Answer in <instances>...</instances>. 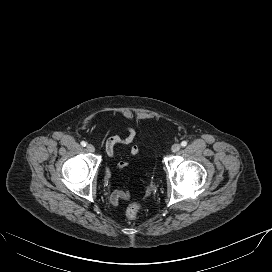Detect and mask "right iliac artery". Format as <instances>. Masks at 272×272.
<instances>
[{"label": "right iliac artery", "instance_id": "obj_1", "mask_svg": "<svg viewBox=\"0 0 272 272\" xmlns=\"http://www.w3.org/2000/svg\"><path fill=\"white\" fill-rule=\"evenodd\" d=\"M81 145H82L83 147H85V146L87 145V143H86L85 141H82V142H81Z\"/></svg>", "mask_w": 272, "mask_h": 272}]
</instances>
